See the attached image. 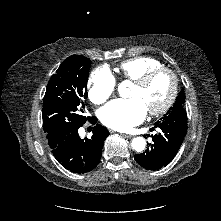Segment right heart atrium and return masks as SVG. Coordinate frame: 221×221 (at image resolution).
Segmentation results:
<instances>
[{
    "label": "right heart atrium",
    "instance_id": "1",
    "mask_svg": "<svg viewBox=\"0 0 221 221\" xmlns=\"http://www.w3.org/2000/svg\"><path fill=\"white\" fill-rule=\"evenodd\" d=\"M88 86L89 99L94 104H102L113 95L116 81L107 68L98 67L90 74Z\"/></svg>",
    "mask_w": 221,
    "mask_h": 221
}]
</instances>
